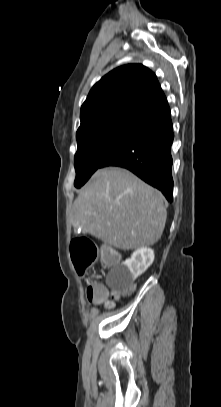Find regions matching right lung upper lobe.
I'll use <instances>...</instances> for the list:
<instances>
[{
  "instance_id": "cb5924a9",
  "label": "right lung upper lobe",
  "mask_w": 221,
  "mask_h": 407,
  "mask_svg": "<svg viewBox=\"0 0 221 407\" xmlns=\"http://www.w3.org/2000/svg\"><path fill=\"white\" fill-rule=\"evenodd\" d=\"M167 105L151 70L141 64L118 67L90 90L81 107V125L76 138L112 125H139Z\"/></svg>"
}]
</instances>
